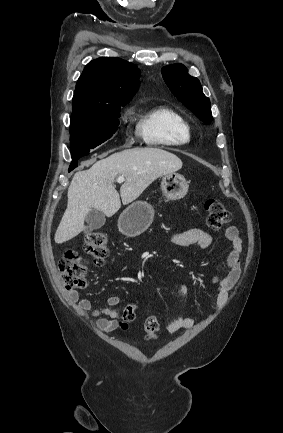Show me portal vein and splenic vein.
Wrapping results in <instances>:
<instances>
[{"mask_svg": "<svg viewBox=\"0 0 283 433\" xmlns=\"http://www.w3.org/2000/svg\"><path fill=\"white\" fill-rule=\"evenodd\" d=\"M116 180L117 182H124L125 178L124 176H117Z\"/></svg>", "mask_w": 283, "mask_h": 433, "instance_id": "portal-vein-and-splenic-vein-1", "label": "portal vein and splenic vein"}]
</instances>
